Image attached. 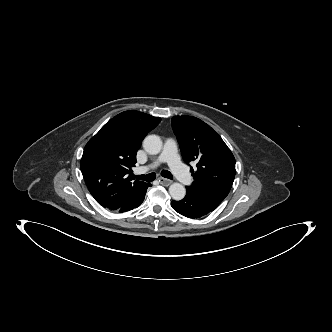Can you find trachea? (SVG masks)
Segmentation results:
<instances>
[{
  "label": "trachea",
  "instance_id": "1",
  "mask_svg": "<svg viewBox=\"0 0 332 332\" xmlns=\"http://www.w3.org/2000/svg\"><path fill=\"white\" fill-rule=\"evenodd\" d=\"M161 175L165 178H168V179L173 178L172 174L168 170H162ZM136 178L139 179V180H144L146 182H152V181L155 180L156 174L155 173H149L147 175L136 176Z\"/></svg>",
  "mask_w": 332,
  "mask_h": 332
}]
</instances>
